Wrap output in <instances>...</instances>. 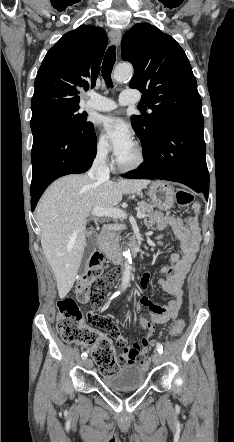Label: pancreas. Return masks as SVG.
Wrapping results in <instances>:
<instances>
[{"label":"pancreas","instance_id":"cf45deb5","mask_svg":"<svg viewBox=\"0 0 234 442\" xmlns=\"http://www.w3.org/2000/svg\"><path fill=\"white\" fill-rule=\"evenodd\" d=\"M138 210H140L142 213L149 215L154 210L153 204H148L147 202L141 201L138 202ZM105 238L107 239V243L104 245V251L106 253H110L115 247L118 246L119 240H120V234L116 233L114 231H109Z\"/></svg>","mask_w":234,"mask_h":442}]
</instances>
